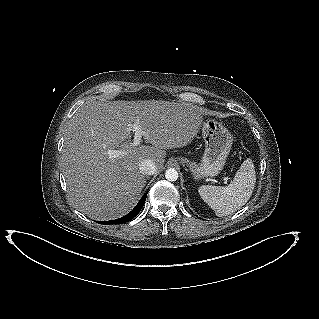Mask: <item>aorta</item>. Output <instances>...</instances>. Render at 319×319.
Listing matches in <instances>:
<instances>
[{
	"mask_svg": "<svg viewBox=\"0 0 319 319\" xmlns=\"http://www.w3.org/2000/svg\"><path fill=\"white\" fill-rule=\"evenodd\" d=\"M178 177V172L174 168H170L165 172V178L170 182L176 181Z\"/></svg>",
	"mask_w": 319,
	"mask_h": 319,
	"instance_id": "obj_1",
	"label": "aorta"
}]
</instances>
